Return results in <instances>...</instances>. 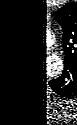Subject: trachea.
Returning <instances> with one entry per match:
<instances>
[{"label":"trachea","instance_id":"3493384b","mask_svg":"<svg viewBox=\"0 0 77 125\" xmlns=\"http://www.w3.org/2000/svg\"><path fill=\"white\" fill-rule=\"evenodd\" d=\"M25 51H26V52H30V51H31V49H25Z\"/></svg>","mask_w":77,"mask_h":125}]
</instances>
